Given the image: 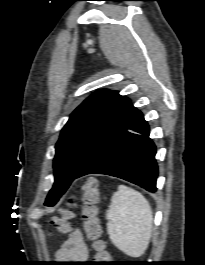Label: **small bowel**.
Returning <instances> with one entry per match:
<instances>
[{
	"instance_id": "1",
	"label": "small bowel",
	"mask_w": 205,
	"mask_h": 265,
	"mask_svg": "<svg viewBox=\"0 0 205 265\" xmlns=\"http://www.w3.org/2000/svg\"><path fill=\"white\" fill-rule=\"evenodd\" d=\"M89 258V249L82 232L75 229L56 252V260L61 262L74 261L85 263Z\"/></svg>"
}]
</instances>
